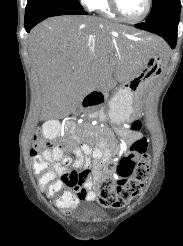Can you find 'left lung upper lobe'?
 Instances as JSON below:
<instances>
[{"label": "left lung upper lobe", "instance_id": "1", "mask_svg": "<svg viewBox=\"0 0 183 246\" xmlns=\"http://www.w3.org/2000/svg\"><path fill=\"white\" fill-rule=\"evenodd\" d=\"M180 4V0H153L152 10L146 21L154 20Z\"/></svg>", "mask_w": 183, "mask_h": 246}]
</instances>
